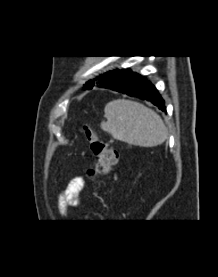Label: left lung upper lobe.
<instances>
[{"label":"left lung upper lobe","mask_w":218,"mask_h":277,"mask_svg":"<svg viewBox=\"0 0 218 277\" xmlns=\"http://www.w3.org/2000/svg\"><path fill=\"white\" fill-rule=\"evenodd\" d=\"M114 72H116V70L113 71H108L105 72L103 74H100L99 76H97L96 78L89 80L88 82H86V84L84 85L85 89L89 90L91 89L94 85L96 84H101L105 79H107L111 74H113Z\"/></svg>","instance_id":"left-lung-upper-lobe-1"}]
</instances>
